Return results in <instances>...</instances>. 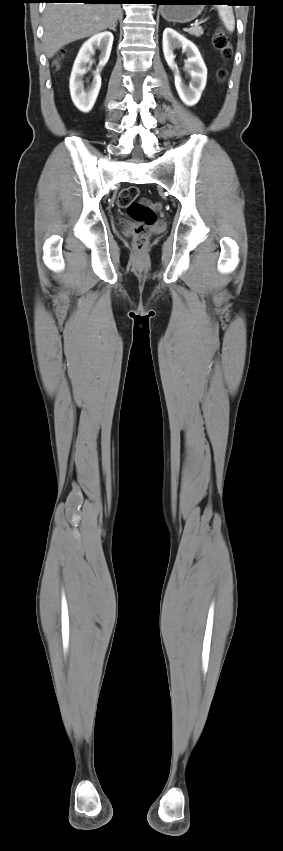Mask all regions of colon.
Segmentation results:
<instances>
[{
    "label": "colon",
    "mask_w": 283,
    "mask_h": 851,
    "mask_svg": "<svg viewBox=\"0 0 283 851\" xmlns=\"http://www.w3.org/2000/svg\"><path fill=\"white\" fill-rule=\"evenodd\" d=\"M212 43L225 60H229L232 57L233 49L231 39L229 34L223 28L219 27L216 29L212 37ZM63 54L64 52L61 53V56H63ZM55 65L57 67L58 62H56ZM225 76L226 71L224 69H220L218 71V78L223 80ZM138 196L139 189L136 186L124 188L118 194L117 205L122 209H127L129 215L138 221V224L134 227L133 241L135 248L137 250H142L149 238L150 225L154 219V211L161 208V203L153 202L149 199L136 201Z\"/></svg>",
    "instance_id": "5ec220e1"
}]
</instances>
